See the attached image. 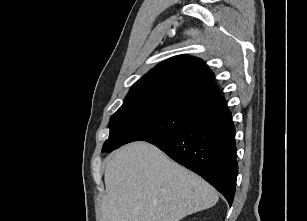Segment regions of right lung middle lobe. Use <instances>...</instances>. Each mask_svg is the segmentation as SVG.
I'll list each match as a JSON object with an SVG mask.
<instances>
[{
    "mask_svg": "<svg viewBox=\"0 0 307 221\" xmlns=\"http://www.w3.org/2000/svg\"><path fill=\"white\" fill-rule=\"evenodd\" d=\"M209 109L183 101L135 100L124 102L109 121L110 135L102 151L110 152L133 141H148L175 133Z\"/></svg>",
    "mask_w": 307,
    "mask_h": 221,
    "instance_id": "right-lung-middle-lobe-1",
    "label": "right lung middle lobe"
}]
</instances>
